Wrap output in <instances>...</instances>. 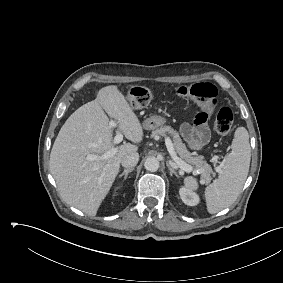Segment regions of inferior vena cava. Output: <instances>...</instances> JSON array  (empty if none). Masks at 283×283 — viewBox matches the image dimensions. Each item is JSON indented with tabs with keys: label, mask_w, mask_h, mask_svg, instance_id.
Instances as JSON below:
<instances>
[{
	"label": "inferior vena cava",
	"mask_w": 283,
	"mask_h": 283,
	"mask_svg": "<svg viewBox=\"0 0 283 283\" xmlns=\"http://www.w3.org/2000/svg\"><path fill=\"white\" fill-rule=\"evenodd\" d=\"M138 160H139V154L137 152H132L130 154L125 155L121 159V164L123 167L127 169L133 168L138 163Z\"/></svg>",
	"instance_id": "1"
}]
</instances>
